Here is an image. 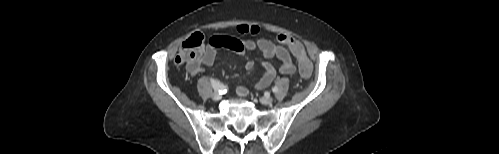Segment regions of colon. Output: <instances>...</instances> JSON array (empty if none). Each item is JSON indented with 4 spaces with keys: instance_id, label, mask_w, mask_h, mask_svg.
<instances>
[{
    "instance_id": "obj_1",
    "label": "colon",
    "mask_w": 499,
    "mask_h": 154,
    "mask_svg": "<svg viewBox=\"0 0 499 154\" xmlns=\"http://www.w3.org/2000/svg\"><path fill=\"white\" fill-rule=\"evenodd\" d=\"M277 41L286 46L298 60L299 73L307 78L312 74L313 65L307 57L303 45L294 37L287 34H279ZM205 47V39L201 33H193L186 38L180 47V51L175 58L177 64L198 65L202 59Z\"/></svg>"
}]
</instances>
